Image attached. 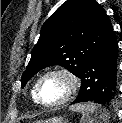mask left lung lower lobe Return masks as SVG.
I'll use <instances>...</instances> for the list:
<instances>
[{
	"label": "left lung lower lobe",
	"instance_id": "left-lung-lower-lobe-1",
	"mask_svg": "<svg viewBox=\"0 0 122 123\" xmlns=\"http://www.w3.org/2000/svg\"><path fill=\"white\" fill-rule=\"evenodd\" d=\"M118 43L112 31L88 60L79 78L81 88L72 104L114 101L117 94Z\"/></svg>",
	"mask_w": 122,
	"mask_h": 123
}]
</instances>
